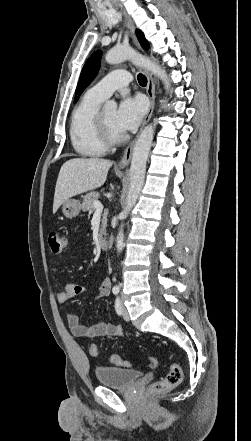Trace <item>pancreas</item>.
<instances>
[{
    "label": "pancreas",
    "mask_w": 251,
    "mask_h": 441,
    "mask_svg": "<svg viewBox=\"0 0 251 441\" xmlns=\"http://www.w3.org/2000/svg\"><path fill=\"white\" fill-rule=\"evenodd\" d=\"M99 199V193L92 191L87 193L84 198H83V202H82V208L84 211H88L89 215L93 213L94 211V202L98 201ZM106 220H107V214L104 213L103 217H102V226L100 229V236L105 232V227H106Z\"/></svg>",
    "instance_id": "cf45deb5"
}]
</instances>
